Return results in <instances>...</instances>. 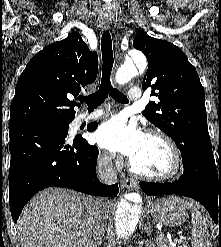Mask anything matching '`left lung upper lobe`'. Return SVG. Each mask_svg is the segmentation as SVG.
<instances>
[{"mask_svg": "<svg viewBox=\"0 0 221 247\" xmlns=\"http://www.w3.org/2000/svg\"><path fill=\"white\" fill-rule=\"evenodd\" d=\"M133 46L148 60L142 88L151 87V96L159 99L147 104L146 119L172 138L182 157L210 141L204 88L183 51L145 33L134 38Z\"/></svg>", "mask_w": 221, "mask_h": 247, "instance_id": "1", "label": "left lung upper lobe"}]
</instances>
